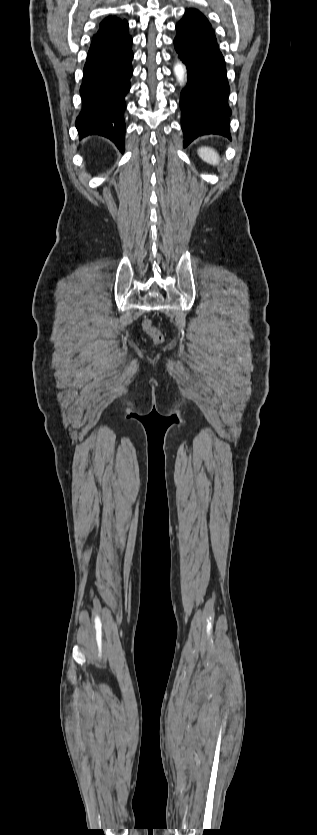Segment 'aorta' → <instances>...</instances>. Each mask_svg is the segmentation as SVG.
I'll list each match as a JSON object with an SVG mask.
<instances>
[{"label":"aorta","instance_id":"aorta-1","mask_svg":"<svg viewBox=\"0 0 317 835\" xmlns=\"http://www.w3.org/2000/svg\"><path fill=\"white\" fill-rule=\"evenodd\" d=\"M174 73L179 83L184 84L185 67L180 62L176 63V65L174 66Z\"/></svg>","mask_w":317,"mask_h":835}]
</instances>
